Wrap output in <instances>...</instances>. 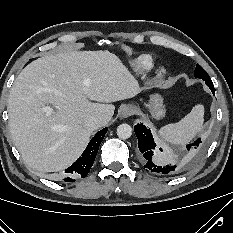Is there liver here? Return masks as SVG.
I'll return each mask as SVG.
<instances>
[{"instance_id":"liver-1","label":"liver","mask_w":233,"mask_h":233,"mask_svg":"<svg viewBox=\"0 0 233 233\" xmlns=\"http://www.w3.org/2000/svg\"><path fill=\"white\" fill-rule=\"evenodd\" d=\"M137 93L134 76L107 50L38 58L16 77L9 93L7 109L14 144L32 169L63 170L88 144L92 130L84 126L85 119L98 115L105 126L114 114L111 103ZM47 106H51L50 113L44 110Z\"/></svg>"}]
</instances>
